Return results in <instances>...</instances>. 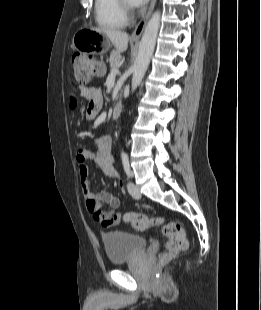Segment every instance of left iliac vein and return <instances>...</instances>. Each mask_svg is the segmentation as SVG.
<instances>
[{"mask_svg":"<svg viewBox=\"0 0 261 310\" xmlns=\"http://www.w3.org/2000/svg\"><path fill=\"white\" fill-rule=\"evenodd\" d=\"M128 192L134 199H140L141 198V192L139 188L132 182L128 183Z\"/></svg>","mask_w":261,"mask_h":310,"instance_id":"1","label":"left iliac vein"}]
</instances>
